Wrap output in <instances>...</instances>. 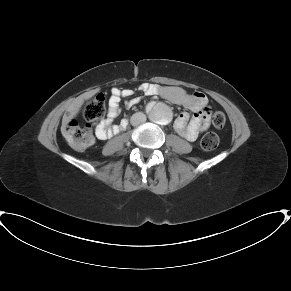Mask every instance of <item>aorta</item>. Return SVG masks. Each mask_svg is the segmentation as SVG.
<instances>
[{"instance_id":"aorta-1","label":"aorta","mask_w":291,"mask_h":291,"mask_svg":"<svg viewBox=\"0 0 291 291\" xmlns=\"http://www.w3.org/2000/svg\"><path fill=\"white\" fill-rule=\"evenodd\" d=\"M149 116L154 123L167 125L172 119V112L167 105L157 103L151 108Z\"/></svg>"}]
</instances>
